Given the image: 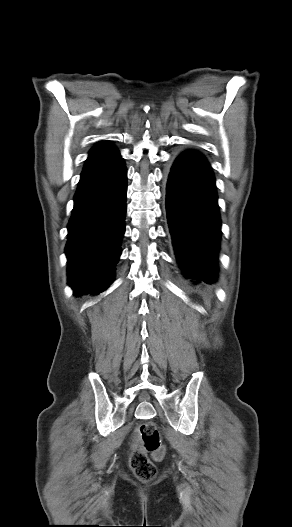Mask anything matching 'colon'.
I'll use <instances>...</instances> for the list:
<instances>
[{
    "label": "colon",
    "mask_w": 292,
    "mask_h": 527,
    "mask_svg": "<svg viewBox=\"0 0 292 527\" xmlns=\"http://www.w3.org/2000/svg\"><path fill=\"white\" fill-rule=\"evenodd\" d=\"M139 444L130 457V465L135 476L141 481H150L156 476V467L147 453L156 451L160 437L153 423H143L139 427Z\"/></svg>",
    "instance_id": "5ec220e1"
}]
</instances>
